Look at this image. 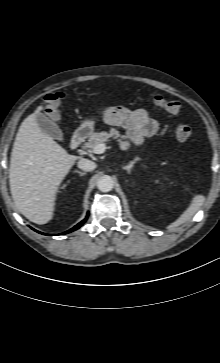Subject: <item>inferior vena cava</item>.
<instances>
[{"instance_id":"602c4592","label":"inferior vena cava","mask_w":220,"mask_h":363,"mask_svg":"<svg viewBox=\"0 0 220 363\" xmlns=\"http://www.w3.org/2000/svg\"><path fill=\"white\" fill-rule=\"evenodd\" d=\"M78 167L84 171H92L96 168V163L91 160L81 158L78 162Z\"/></svg>"}]
</instances>
